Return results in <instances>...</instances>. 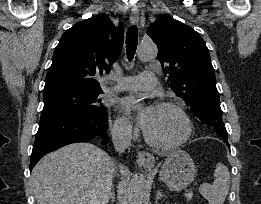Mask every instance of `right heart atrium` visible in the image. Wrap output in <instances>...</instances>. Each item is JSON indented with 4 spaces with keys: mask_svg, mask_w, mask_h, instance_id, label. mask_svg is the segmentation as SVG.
Here are the masks:
<instances>
[{
    "mask_svg": "<svg viewBox=\"0 0 261 204\" xmlns=\"http://www.w3.org/2000/svg\"><path fill=\"white\" fill-rule=\"evenodd\" d=\"M113 135L121 140L129 141L137 136V129L124 117L117 116L112 124Z\"/></svg>",
    "mask_w": 261,
    "mask_h": 204,
    "instance_id": "1",
    "label": "right heart atrium"
}]
</instances>
